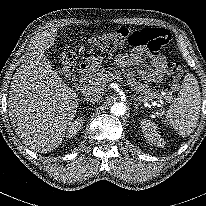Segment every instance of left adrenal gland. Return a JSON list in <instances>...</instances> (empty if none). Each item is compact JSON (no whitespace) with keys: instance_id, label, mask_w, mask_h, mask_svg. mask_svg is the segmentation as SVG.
Listing matches in <instances>:
<instances>
[{"instance_id":"a2214340","label":"left adrenal gland","mask_w":206,"mask_h":206,"mask_svg":"<svg viewBox=\"0 0 206 206\" xmlns=\"http://www.w3.org/2000/svg\"><path fill=\"white\" fill-rule=\"evenodd\" d=\"M134 100H135V104H134L135 105V109H137L140 104L138 103V100L136 98H134Z\"/></svg>"}]
</instances>
